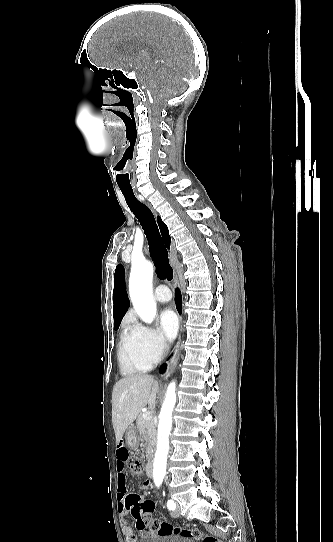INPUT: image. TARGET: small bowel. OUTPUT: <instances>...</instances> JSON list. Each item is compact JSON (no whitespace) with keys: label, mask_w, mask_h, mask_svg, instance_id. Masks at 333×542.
Masks as SVG:
<instances>
[{"label":"small bowel","mask_w":333,"mask_h":542,"mask_svg":"<svg viewBox=\"0 0 333 542\" xmlns=\"http://www.w3.org/2000/svg\"><path fill=\"white\" fill-rule=\"evenodd\" d=\"M128 458V450L121 442L117 448V499H118V512L121 517L122 532L126 537L127 542H133L132 539L136 536V531L132 526L127 524L125 517L130 512V508L125 505V500L130 497L126 475L124 473L125 463ZM143 488L149 486L148 477H143Z\"/></svg>","instance_id":"small-bowel-1"}]
</instances>
